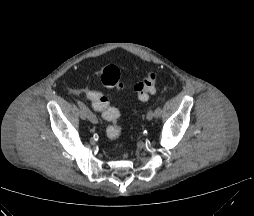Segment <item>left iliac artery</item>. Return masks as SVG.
<instances>
[{"instance_id":"left-iliac-artery-1","label":"left iliac artery","mask_w":254,"mask_h":216,"mask_svg":"<svg viewBox=\"0 0 254 216\" xmlns=\"http://www.w3.org/2000/svg\"><path fill=\"white\" fill-rule=\"evenodd\" d=\"M163 112V107L162 105H158L155 110H154V113H155V117H160L161 114Z\"/></svg>"}]
</instances>
